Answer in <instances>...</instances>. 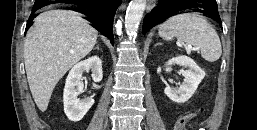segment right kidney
<instances>
[{
	"mask_svg": "<svg viewBox=\"0 0 257 130\" xmlns=\"http://www.w3.org/2000/svg\"><path fill=\"white\" fill-rule=\"evenodd\" d=\"M89 70L92 72L91 76L94 82L98 83L102 80V62L98 56H92L79 62L70 70L67 76L63 92V103L64 112L70 121H80L94 104L92 97L82 100L77 98L83 90L82 74L84 71L88 72Z\"/></svg>",
	"mask_w": 257,
	"mask_h": 130,
	"instance_id": "obj_1",
	"label": "right kidney"
}]
</instances>
